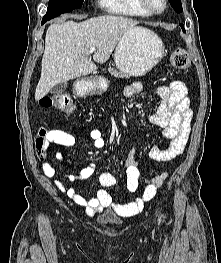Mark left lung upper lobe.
<instances>
[{
    "label": "left lung upper lobe",
    "instance_id": "obj_1",
    "mask_svg": "<svg viewBox=\"0 0 221 263\" xmlns=\"http://www.w3.org/2000/svg\"><path fill=\"white\" fill-rule=\"evenodd\" d=\"M169 2L177 13L182 12V4L180 0H169Z\"/></svg>",
    "mask_w": 221,
    "mask_h": 263
}]
</instances>
